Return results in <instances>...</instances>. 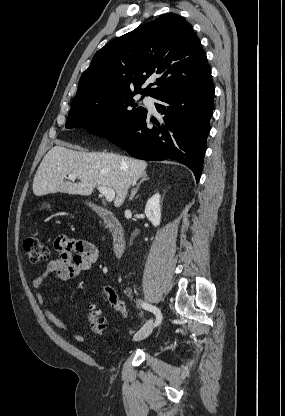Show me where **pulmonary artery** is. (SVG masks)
<instances>
[{"instance_id": "pulmonary-artery-1", "label": "pulmonary artery", "mask_w": 285, "mask_h": 416, "mask_svg": "<svg viewBox=\"0 0 285 416\" xmlns=\"http://www.w3.org/2000/svg\"><path fill=\"white\" fill-rule=\"evenodd\" d=\"M144 103L150 108V109H154L155 105H154V100L151 97H145L144 98Z\"/></svg>"}]
</instances>
